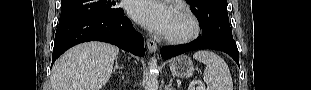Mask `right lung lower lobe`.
<instances>
[{"mask_svg":"<svg viewBox=\"0 0 311 90\" xmlns=\"http://www.w3.org/2000/svg\"><path fill=\"white\" fill-rule=\"evenodd\" d=\"M86 41L114 44L138 56H144V39L121 9L110 16H84L59 25L55 34L52 65L70 47Z\"/></svg>","mask_w":311,"mask_h":90,"instance_id":"98d812e1","label":"right lung lower lobe"}]
</instances>
